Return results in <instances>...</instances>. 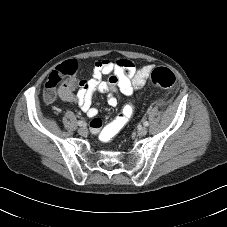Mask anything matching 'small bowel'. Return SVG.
Segmentation results:
<instances>
[{
	"instance_id": "1",
	"label": "small bowel",
	"mask_w": 227,
	"mask_h": 227,
	"mask_svg": "<svg viewBox=\"0 0 227 227\" xmlns=\"http://www.w3.org/2000/svg\"><path fill=\"white\" fill-rule=\"evenodd\" d=\"M152 69V65L137 68L128 59L115 61L98 59L94 62L90 79L73 83L69 87H61L59 93L62 99L76 103L87 116L93 118L97 116V110L92 106L96 94H107L108 104L116 106L118 103L116 93L130 96L134 91L140 90L144 87ZM105 75H109L106 80L103 79ZM91 124L95 125H90L91 132L101 135L112 123L104 124L99 119H95Z\"/></svg>"
}]
</instances>
